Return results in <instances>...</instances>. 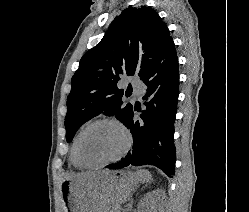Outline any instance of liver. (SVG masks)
<instances>
[{"mask_svg":"<svg viewBox=\"0 0 249 212\" xmlns=\"http://www.w3.org/2000/svg\"><path fill=\"white\" fill-rule=\"evenodd\" d=\"M117 174H120V176H117ZM146 176L145 170H137V172L101 170V172L73 174L67 180L86 182V186L92 188L94 192L95 202L93 208L98 206L97 210L106 212L108 206H121V204L131 200L138 188V184L144 182Z\"/></svg>","mask_w":249,"mask_h":212,"instance_id":"obj_1","label":"liver"}]
</instances>
